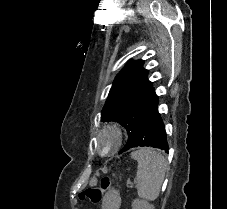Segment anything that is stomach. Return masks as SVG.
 Masks as SVG:
<instances>
[{
  "label": "stomach",
  "mask_w": 227,
  "mask_h": 209,
  "mask_svg": "<svg viewBox=\"0 0 227 209\" xmlns=\"http://www.w3.org/2000/svg\"><path fill=\"white\" fill-rule=\"evenodd\" d=\"M120 204V194L117 190L112 188L103 197L102 209H119Z\"/></svg>",
  "instance_id": "1"
}]
</instances>
